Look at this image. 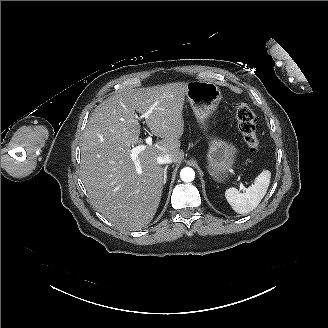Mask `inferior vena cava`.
<instances>
[{
    "label": "inferior vena cava",
    "mask_w": 328,
    "mask_h": 328,
    "mask_svg": "<svg viewBox=\"0 0 328 328\" xmlns=\"http://www.w3.org/2000/svg\"><path fill=\"white\" fill-rule=\"evenodd\" d=\"M157 163L158 164H170V163H172V158L168 154L158 156ZM164 173L166 174V171H164Z\"/></svg>",
    "instance_id": "602c4592"
}]
</instances>
